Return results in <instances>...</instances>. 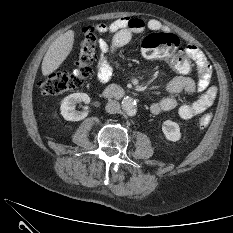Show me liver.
Here are the masks:
<instances>
[{"mask_svg": "<svg viewBox=\"0 0 233 233\" xmlns=\"http://www.w3.org/2000/svg\"><path fill=\"white\" fill-rule=\"evenodd\" d=\"M74 44V32L68 30L52 42L42 61V74L47 76L60 67L70 54Z\"/></svg>", "mask_w": 233, "mask_h": 233, "instance_id": "1", "label": "liver"}]
</instances>
